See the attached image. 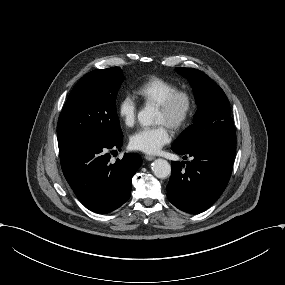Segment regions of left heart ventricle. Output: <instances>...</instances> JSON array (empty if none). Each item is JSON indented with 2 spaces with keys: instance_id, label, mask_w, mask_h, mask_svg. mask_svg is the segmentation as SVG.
<instances>
[{
  "instance_id": "left-heart-ventricle-1",
  "label": "left heart ventricle",
  "mask_w": 285,
  "mask_h": 285,
  "mask_svg": "<svg viewBox=\"0 0 285 285\" xmlns=\"http://www.w3.org/2000/svg\"><path fill=\"white\" fill-rule=\"evenodd\" d=\"M184 104L185 102L183 98H180L177 101L176 107H175L176 113H179L183 109ZM169 121H170V116L162 112L159 108H157L155 112L154 123L155 124L165 123L168 125Z\"/></svg>"
}]
</instances>
